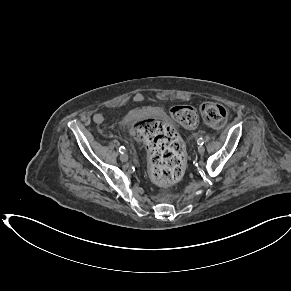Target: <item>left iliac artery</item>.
I'll use <instances>...</instances> for the list:
<instances>
[{
	"label": "left iliac artery",
	"instance_id": "obj_1",
	"mask_svg": "<svg viewBox=\"0 0 291 291\" xmlns=\"http://www.w3.org/2000/svg\"><path fill=\"white\" fill-rule=\"evenodd\" d=\"M198 145H203L204 144V140L202 138H199L197 140Z\"/></svg>",
	"mask_w": 291,
	"mask_h": 291
}]
</instances>
